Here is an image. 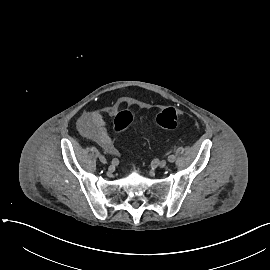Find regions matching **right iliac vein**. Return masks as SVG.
Returning <instances> with one entry per match:
<instances>
[{"mask_svg": "<svg viewBox=\"0 0 270 270\" xmlns=\"http://www.w3.org/2000/svg\"><path fill=\"white\" fill-rule=\"evenodd\" d=\"M99 160H100V162L103 163V164H106V163H107V160H106V158H105L103 155H100V156H99Z\"/></svg>", "mask_w": 270, "mask_h": 270, "instance_id": "right-iliac-vein-1", "label": "right iliac vein"}]
</instances>
